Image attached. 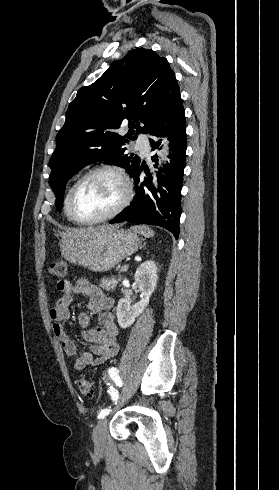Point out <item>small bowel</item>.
<instances>
[{
    "label": "small bowel",
    "mask_w": 279,
    "mask_h": 490,
    "mask_svg": "<svg viewBox=\"0 0 279 490\" xmlns=\"http://www.w3.org/2000/svg\"><path fill=\"white\" fill-rule=\"evenodd\" d=\"M57 288L62 296L50 308L49 316L52 320L53 334L61 342L66 355L73 360V368L82 370L86 366L112 359L118 352L119 332L111 312L114 306L113 298L86 279H80L75 283L61 279L57 282ZM77 295L87 298L88 311L78 315V322L83 328L82 337L90 344L89 349L82 353L78 351L64 328V323L70 317V304ZM91 314L98 317L99 326L88 327Z\"/></svg>",
    "instance_id": "c3829d8e"
}]
</instances>
